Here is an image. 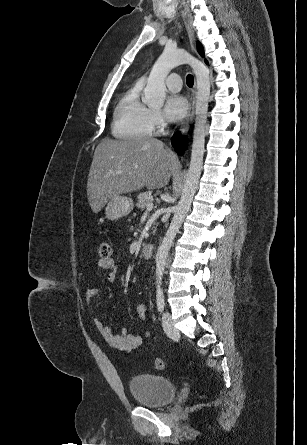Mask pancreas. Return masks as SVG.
<instances>
[{
    "label": "pancreas",
    "mask_w": 307,
    "mask_h": 445,
    "mask_svg": "<svg viewBox=\"0 0 307 445\" xmlns=\"http://www.w3.org/2000/svg\"><path fill=\"white\" fill-rule=\"evenodd\" d=\"M152 200H153L152 192H140V194H138L137 196L136 206H138V208H141V210H143V208L147 206L148 202H152Z\"/></svg>",
    "instance_id": "cf45deb5"
}]
</instances>
